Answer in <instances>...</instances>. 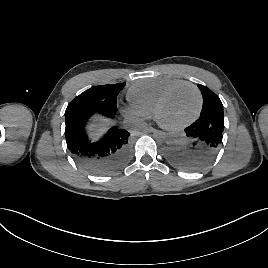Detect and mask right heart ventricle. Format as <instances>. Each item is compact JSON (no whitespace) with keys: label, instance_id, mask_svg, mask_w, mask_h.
Listing matches in <instances>:
<instances>
[{"label":"right heart ventricle","instance_id":"right-heart-ventricle-1","mask_svg":"<svg viewBox=\"0 0 268 268\" xmlns=\"http://www.w3.org/2000/svg\"><path fill=\"white\" fill-rule=\"evenodd\" d=\"M181 82L184 81L165 77L139 80L129 87L127 97L131 105L151 117L161 96Z\"/></svg>","mask_w":268,"mask_h":268}]
</instances>
